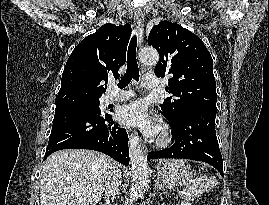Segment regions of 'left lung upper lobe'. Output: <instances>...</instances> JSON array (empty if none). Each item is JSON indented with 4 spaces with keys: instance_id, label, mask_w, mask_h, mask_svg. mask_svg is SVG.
I'll return each instance as SVG.
<instances>
[{
    "instance_id": "1",
    "label": "left lung upper lobe",
    "mask_w": 269,
    "mask_h": 205,
    "mask_svg": "<svg viewBox=\"0 0 269 205\" xmlns=\"http://www.w3.org/2000/svg\"><path fill=\"white\" fill-rule=\"evenodd\" d=\"M148 44L160 54L155 75L171 76L166 91L174 98L160 105L169 121L191 111H216L213 59L198 36L177 23L161 21L150 31Z\"/></svg>"
}]
</instances>
